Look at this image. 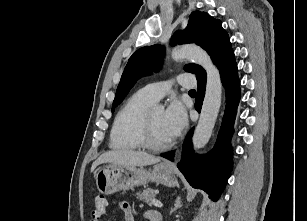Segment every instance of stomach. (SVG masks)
Returning <instances> with one entry per match:
<instances>
[{"mask_svg":"<svg viewBox=\"0 0 307 221\" xmlns=\"http://www.w3.org/2000/svg\"><path fill=\"white\" fill-rule=\"evenodd\" d=\"M95 180L97 189L102 194L128 190L150 180L167 186L178 185L175 170L168 162L155 165L153 170L110 163L95 173Z\"/></svg>","mask_w":307,"mask_h":221,"instance_id":"0dacf381","label":"stomach"}]
</instances>
